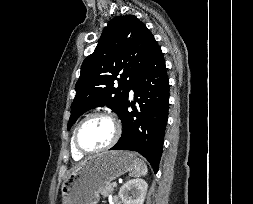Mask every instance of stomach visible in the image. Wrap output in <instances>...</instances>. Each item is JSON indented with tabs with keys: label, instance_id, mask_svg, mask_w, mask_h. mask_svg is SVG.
<instances>
[{
	"label": "stomach",
	"instance_id": "stomach-1",
	"mask_svg": "<svg viewBox=\"0 0 253 204\" xmlns=\"http://www.w3.org/2000/svg\"><path fill=\"white\" fill-rule=\"evenodd\" d=\"M136 156L131 152L107 151L76 166L63 182L62 204H97L100 190L117 177L132 171Z\"/></svg>",
	"mask_w": 253,
	"mask_h": 204
}]
</instances>
